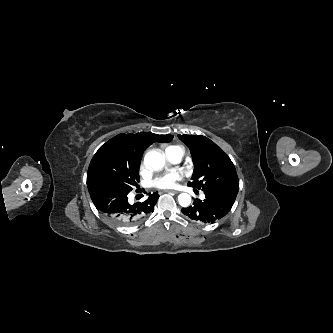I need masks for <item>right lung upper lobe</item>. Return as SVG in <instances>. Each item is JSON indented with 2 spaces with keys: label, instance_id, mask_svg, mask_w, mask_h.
<instances>
[{
  "label": "right lung upper lobe",
  "instance_id": "right-lung-upper-lobe-1",
  "mask_svg": "<svg viewBox=\"0 0 333 333\" xmlns=\"http://www.w3.org/2000/svg\"><path fill=\"white\" fill-rule=\"evenodd\" d=\"M172 135H156L153 133L119 134L105 144L122 148L132 160L140 164L142 154L154 142H169Z\"/></svg>",
  "mask_w": 333,
  "mask_h": 333
}]
</instances>
